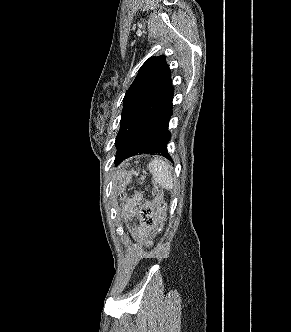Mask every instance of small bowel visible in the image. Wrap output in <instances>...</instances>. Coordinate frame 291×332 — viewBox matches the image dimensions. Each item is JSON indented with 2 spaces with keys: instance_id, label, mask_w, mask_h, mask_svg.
Wrapping results in <instances>:
<instances>
[{
  "instance_id": "c3829d8e",
  "label": "small bowel",
  "mask_w": 291,
  "mask_h": 332,
  "mask_svg": "<svg viewBox=\"0 0 291 332\" xmlns=\"http://www.w3.org/2000/svg\"><path fill=\"white\" fill-rule=\"evenodd\" d=\"M152 232L145 228H137L135 230V236L140 240H148L151 236Z\"/></svg>"
}]
</instances>
